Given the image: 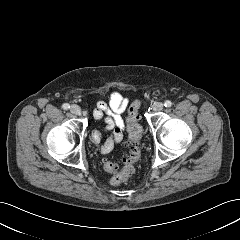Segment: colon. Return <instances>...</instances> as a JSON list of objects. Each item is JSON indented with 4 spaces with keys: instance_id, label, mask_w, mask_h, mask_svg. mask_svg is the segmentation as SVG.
I'll return each mask as SVG.
<instances>
[{
    "instance_id": "obj_1",
    "label": "colon",
    "mask_w": 240,
    "mask_h": 240,
    "mask_svg": "<svg viewBox=\"0 0 240 240\" xmlns=\"http://www.w3.org/2000/svg\"><path fill=\"white\" fill-rule=\"evenodd\" d=\"M141 105L140 100H135L128 109L127 116V131H128V143L127 152L122 158V168L119 170L118 165L110 162L103 161V167L112 173L111 184L113 186H120L122 183L131 178L134 173L133 164L140 157L139 142L142 136V128L138 122L139 120V108Z\"/></svg>"
}]
</instances>
